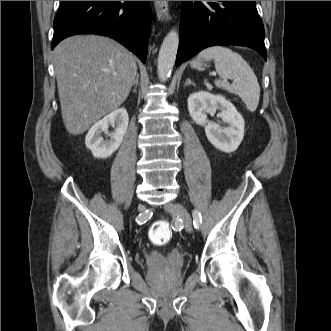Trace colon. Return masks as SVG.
Here are the masks:
<instances>
[{
	"label": "colon",
	"mask_w": 331,
	"mask_h": 331,
	"mask_svg": "<svg viewBox=\"0 0 331 331\" xmlns=\"http://www.w3.org/2000/svg\"><path fill=\"white\" fill-rule=\"evenodd\" d=\"M149 238L155 245H164L172 237V229L165 221H156L149 229Z\"/></svg>",
	"instance_id": "colon-1"
}]
</instances>
